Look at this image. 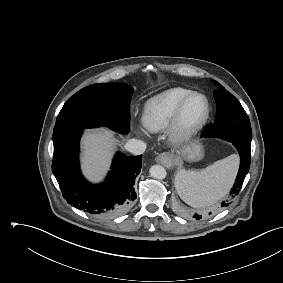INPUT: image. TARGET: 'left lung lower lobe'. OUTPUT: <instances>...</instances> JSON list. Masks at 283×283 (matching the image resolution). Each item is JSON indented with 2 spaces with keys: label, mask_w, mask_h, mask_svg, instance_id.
Segmentation results:
<instances>
[{
  "label": "left lung lower lobe",
  "mask_w": 283,
  "mask_h": 283,
  "mask_svg": "<svg viewBox=\"0 0 283 283\" xmlns=\"http://www.w3.org/2000/svg\"><path fill=\"white\" fill-rule=\"evenodd\" d=\"M202 136L205 137H212L210 135H208L207 133V129L203 132ZM233 145L236 147L239 155H240V167H239V171L235 180V183L233 185V188L230 191V195H236L238 193V191L240 190L244 179L249 171L250 168V145L248 144H243V143H239V142H232ZM228 206V201H223L221 203V207H225ZM202 216L195 214L194 218H196L197 220L200 219Z\"/></svg>",
  "instance_id": "0a47b994"
}]
</instances>
